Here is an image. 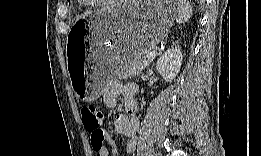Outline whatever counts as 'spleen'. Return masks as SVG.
Wrapping results in <instances>:
<instances>
[{
	"label": "spleen",
	"instance_id": "spleen-1",
	"mask_svg": "<svg viewBox=\"0 0 261 156\" xmlns=\"http://www.w3.org/2000/svg\"><path fill=\"white\" fill-rule=\"evenodd\" d=\"M192 14H193V9L189 1L181 0L179 2V9H178V15L176 17V22L178 24L185 23L191 18Z\"/></svg>",
	"mask_w": 261,
	"mask_h": 156
}]
</instances>
